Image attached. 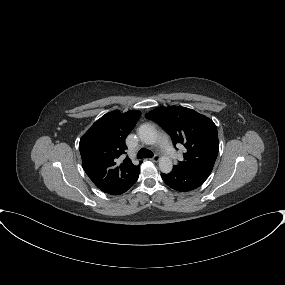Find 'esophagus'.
Listing matches in <instances>:
<instances>
[{"label":"esophagus","mask_w":285,"mask_h":285,"mask_svg":"<svg viewBox=\"0 0 285 285\" xmlns=\"http://www.w3.org/2000/svg\"><path fill=\"white\" fill-rule=\"evenodd\" d=\"M153 162H157L159 160L158 156H154L150 159Z\"/></svg>","instance_id":"1"}]
</instances>
